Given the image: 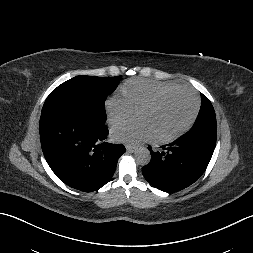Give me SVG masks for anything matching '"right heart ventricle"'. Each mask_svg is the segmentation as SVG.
<instances>
[{
  "mask_svg": "<svg viewBox=\"0 0 253 253\" xmlns=\"http://www.w3.org/2000/svg\"><path fill=\"white\" fill-rule=\"evenodd\" d=\"M178 86L175 83L159 82L145 79H133L126 82L121 93L134 111L150 101L158 93Z\"/></svg>",
  "mask_w": 253,
  "mask_h": 253,
  "instance_id": "e07e8e85",
  "label": "right heart ventricle"
}]
</instances>
